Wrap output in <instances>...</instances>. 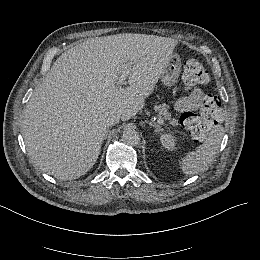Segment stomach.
Listing matches in <instances>:
<instances>
[{"instance_id": "stomach-1", "label": "stomach", "mask_w": 260, "mask_h": 260, "mask_svg": "<svg viewBox=\"0 0 260 260\" xmlns=\"http://www.w3.org/2000/svg\"><path fill=\"white\" fill-rule=\"evenodd\" d=\"M180 68H173L166 66L164 72L160 75L162 85L166 88H172L176 85L180 77Z\"/></svg>"}]
</instances>
